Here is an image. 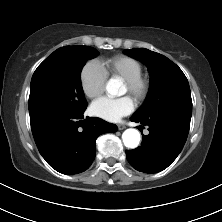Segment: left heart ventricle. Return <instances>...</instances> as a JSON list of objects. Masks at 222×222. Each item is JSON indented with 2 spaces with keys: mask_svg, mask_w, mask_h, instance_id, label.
Wrapping results in <instances>:
<instances>
[{
  "mask_svg": "<svg viewBox=\"0 0 222 222\" xmlns=\"http://www.w3.org/2000/svg\"><path fill=\"white\" fill-rule=\"evenodd\" d=\"M126 93H128V90H127V87L124 84L123 89H122V94H126Z\"/></svg>",
  "mask_w": 222,
  "mask_h": 222,
  "instance_id": "b2bd125f",
  "label": "left heart ventricle"
}]
</instances>
